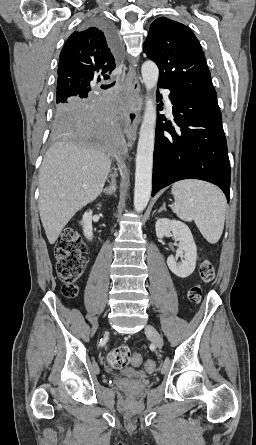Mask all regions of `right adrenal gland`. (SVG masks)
I'll return each instance as SVG.
<instances>
[{"label": "right adrenal gland", "instance_id": "1", "mask_svg": "<svg viewBox=\"0 0 256 445\" xmlns=\"http://www.w3.org/2000/svg\"><path fill=\"white\" fill-rule=\"evenodd\" d=\"M102 192H103L105 195H107V196H110V195L115 194V192H116V184H115V179H114V178H112L111 185H110L109 187L103 189Z\"/></svg>", "mask_w": 256, "mask_h": 445}]
</instances>
